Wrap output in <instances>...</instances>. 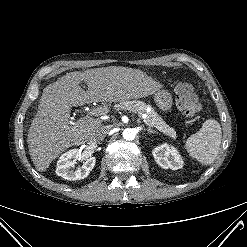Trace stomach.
<instances>
[{
    "label": "stomach",
    "mask_w": 247,
    "mask_h": 247,
    "mask_svg": "<svg viewBox=\"0 0 247 247\" xmlns=\"http://www.w3.org/2000/svg\"><path fill=\"white\" fill-rule=\"evenodd\" d=\"M156 105L163 111H167L172 107V96L166 90L157 91L154 94Z\"/></svg>",
    "instance_id": "0dacf381"
}]
</instances>
